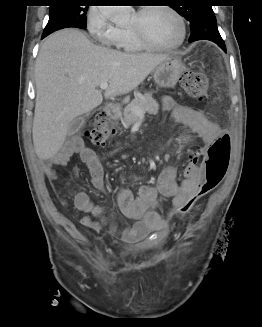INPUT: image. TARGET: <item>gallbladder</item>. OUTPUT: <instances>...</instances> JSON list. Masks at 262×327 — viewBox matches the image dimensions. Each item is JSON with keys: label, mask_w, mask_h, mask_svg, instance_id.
Listing matches in <instances>:
<instances>
[{"label": "gallbladder", "mask_w": 262, "mask_h": 327, "mask_svg": "<svg viewBox=\"0 0 262 327\" xmlns=\"http://www.w3.org/2000/svg\"><path fill=\"white\" fill-rule=\"evenodd\" d=\"M85 124V118L83 116L75 118L69 125L68 135L72 136L76 134Z\"/></svg>", "instance_id": "1"}]
</instances>
